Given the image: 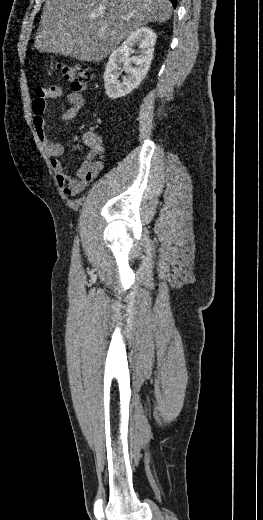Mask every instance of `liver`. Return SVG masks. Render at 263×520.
<instances>
[{"mask_svg":"<svg viewBox=\"0 0 263 520\" xmlns=\"http://www.w3.org/2000/svg\"><path fill=\"white\" fill-rule=\"evenodd\" d=\"M171 14L169 0H46L34 46L99 62L132 33L151 22H166Z\"/></svg>","mask_w":263,"mask_h":520,"instance_id":"obj_1","label":"liver"}]
</instances>
